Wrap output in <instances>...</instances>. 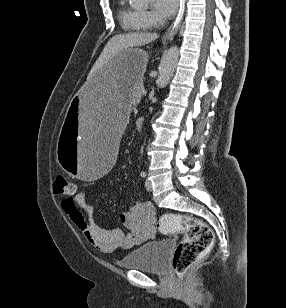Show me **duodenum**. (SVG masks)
Segmentation results:
<instances>
[{
  "label": "duodenum",
  "mask_w": 286,
  "mask_h": 308,
  "mask_svg": "<svg viewBox=\"0 0 286 308\" xmlns=\"http://www.w3.org/2000/svg\"><path fill=\"white\" fill-rule=\"evenodd\" d=\"M135 126H136L137 129H141L142 126H143V121H142V119H138V120L136 121V123H135Z\"/></svg>",
  "instance_id": "410a0bca"
}]
</instances>
